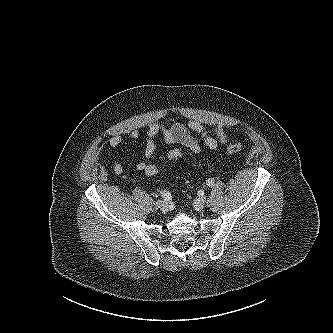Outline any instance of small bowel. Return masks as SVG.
<instances>
[{"instance_id": "obj_1", "label": "small bowel", "mask_w": 333, "mask_h": 333, "mask_svg": "<svg viewBox=\"0 0 333 333\" xmlns=\"http://www.w3.org/2000/svg\"><path fill=\"white\" fill-rule=\"evenodd\" d=\"M193 133L199 135L204 144L211 150H216L220 146L226 145L228 138L224 129L220 125H216L211 135L206 128L197 120H189L186 124L182 122H175L171 125H167L163 122H152L148 126L147 137L144 148V156L151 158L156 150V138L162 135L164 141L168 145L180 144L194 154H200L202 151L201 145L198 139ZM130 139L136 140L139 137V132L133 130L129 134ZM123 141L120 134H115L109 138L108 144L111 150L116 149ZM147 163L138 161L136 163V169L144 171ZM114 172L117 175L122 174L123 166L120 162H115L113 166Z\"/></svg>"}]
</instances>
